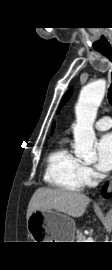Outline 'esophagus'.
<instances>
[{"mask_svg":"<svg viewBox=\"0 0 112 270\" xmlns=\"http://www.w3.org/2000/svg\"><path fill=\"white\" fill-rule=\"evenodd\" d=\"M108 192H111L112 191V177H111V179H110V182H109V185H108ZM104 198H101L100 200H99V204L100 205H103V203H104Z\"/></svg>","mask_w":112,"mask_h":270,"instance_id":"34e87169","label":"esophagus"}]
</instances>
